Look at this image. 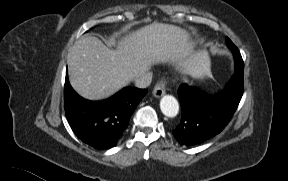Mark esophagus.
Here are the masks:
<instances>
[{
    "label": "esophagus",
    "mask_w": 288,
    "mask_h": 181,
    "mask_svg": "<svg viewBox=\"0 0 288 181\" xmlns=\"http://www.w3.org/2000/svg\"><path fill=\"white\" fill-rule=\"evenodd\" d=\"M165 86H166V81L165 80H160L156 86L153 89V95L156 98H160L165 94Z\"/></svg>",
    "instance_id": "1"
}]
</instances>
